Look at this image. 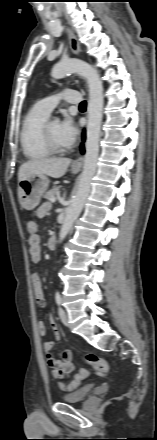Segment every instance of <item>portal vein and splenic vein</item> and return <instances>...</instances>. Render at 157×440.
I'll return each instance as SVG.
<instances>
[{"instance_id":"1","label":"portal vein and splenic vein","mask_w":157,"mask_h":440,"mask_svg":"<svg viewBox=\"0 0 157 440\" xmlns=\"http://www.w3.org/2000/svg\"><path fill=\"white\" fill-rule=\"evenodd\" d=\"M50 201H51L52 203H55L56 198H55V197H52V198L50 199Z\"/></svg>"}]
</instances>
